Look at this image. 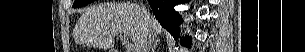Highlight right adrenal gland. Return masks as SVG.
Listing matches in <instances>:
<instances>
[{
	"mask_svg": "<svg viewBox=\"0 0 305 52\" xmlns=\"http://www.w3.org/2000/svg\"><path fill=\"white\" fill-rule=\"evenodd\" d=\"M157 44H158V40H156V42L154 43V45L151 47V52H155L156 47H157Z\"/></svg>",
	"mask_w": 305,
	"mask_h": 52,
	"instance_id": "obj_1",
	"label": "right adrenal gland"
}]
</instances>
